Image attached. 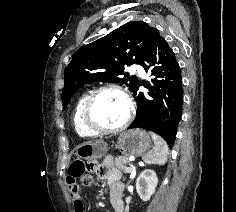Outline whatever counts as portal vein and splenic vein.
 <instances>
[{"mask_svg":"<svg viewBox=\"0 0 236 212\" xmlns=\"http://www.w3.org/2000/svg\"><path fill=\"white\" fill-rule=\"evenodd\" d=\"M132 169H133V166L131 165V166L128 168L127 172H129V170H132Z\"/></svg>","mask_w":236,"mask_h":212,"instance_id":"obj_1","label":"portal vein and splenic vein"}]
</instances>
